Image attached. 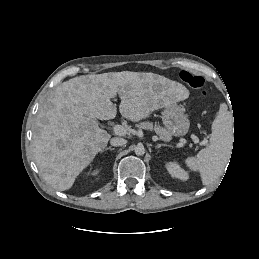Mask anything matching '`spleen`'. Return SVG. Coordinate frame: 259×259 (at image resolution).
Segmentation results:
<instances>
[{"label":"spleen","instance_id":"1","mask_svg":"<svg viewBox=\"0 0 259 259\" xmlns=\"http://www.w3.org/2000/svg\"><path fill=\"white\" fill-rule=\"evenodd\" d=\"M232 114L227 105H220L218 114L212 123L209 145L200 150L196 157L185 160L187 167L199 171L203 185H209L223 173L233 145Z\"/></svg>","mask_w":259,"mask_h":259}]
</instances>
